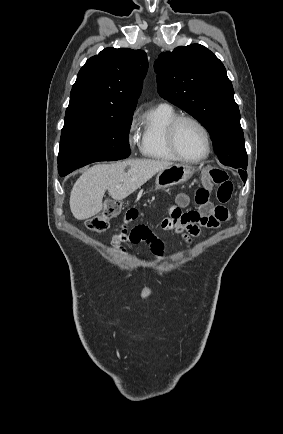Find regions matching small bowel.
I'll return each instance as SVG.
<instances>
[{"label": "small bowel", "instance_id": "small-bowel-1", "mask_svg": "<svg viewBox=\"0 0 283 434\" xmlns=\"http://www.w3.org/2000/svg\"><path fill=\"white\" fill-rule=\"evenodd\" d=\"M189 202L190 198L187 194H179L176 197L175 204L169 208L168 217L162 222L164 230L181 235L187 243H191L193 239L199 236L201 227L215 229L230 218V214L225 207L214 206L210 203L206 189H198L195 194L197 210L183 211V208L187 207ZM139 215L140 211L136 207H132L127 211L125 223L121 231L112 238V245L119 247L123 242H147L152 253L156 257H161L163 242L148 227L138 225L131 229L127 228L126 223L137 219ZM119 249L121 248L119 247Z\"/></svg>", "mask_w": 283, "mask_h": 434}]
</instances>
